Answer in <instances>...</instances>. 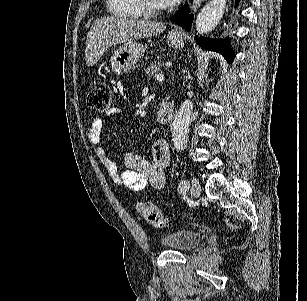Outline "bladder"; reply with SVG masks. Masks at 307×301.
I'll use <instances>...</instances> for the list:
<instances>
[{"instance_id": "1", "label": "bladder", "mask_w": 307, "mask_h": 301, "mask_svg": "<svg viewBox=\"0 0 307 301\" xmlns=\"http://www.w3.org/2000/svg\"><path fill=\"white\" fill-rule=\"evenodd\" d=\"M201 234L197 232L178 230L165 234L162 238V244L170 247L171 249L178 250H191L201 243Z\"/></svg>"}]
</instances>
